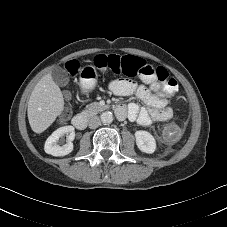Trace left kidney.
Instances as JSON below:
<instances>
[{"mask_svg":"<svg viewBox=\"0 0 227 227\" xmlns=\"http://www.w3.org/2000/svg\"><path fill=\"white\" fill-rule=\"evenodd\" d=\"M136 145L144 153L152 154L156 150V141L147 131L139 130L135 132Z\"/></svg>","mask_w":227,"mask_h":227,"instance_id":"1","label":"left kidney"}]
</instances>
